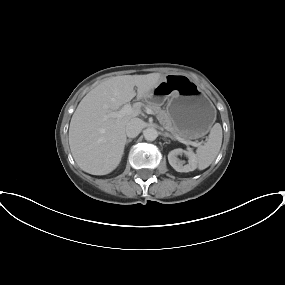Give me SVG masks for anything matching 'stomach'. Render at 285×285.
Masks as SVG:
<instances>
[{
	"instance_id": "stomach-1",
	"label": "stomach",
	"mask_w": 285,
	"mask_h": 285,
	"mask_svg": "<svg viewBox=\"0 0 285 285\" xmlns=\"http://www.w3.org/2000/svg\"><path fill=\"white\" fill-rule=\"evenodd\" d=\"M145 99L153 104L167 100L166 112L184 138L203 137L216 120V109L206 93L183 74L162 77Z\"/></svg>"
}]
</instances>
